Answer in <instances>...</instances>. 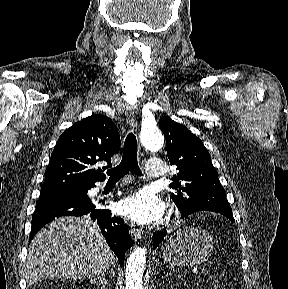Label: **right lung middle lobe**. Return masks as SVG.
Wrapping results in <instances>:
<instances>
[{
	"mask_svg": "<svg viewBox=\"0 0 288 289\" xmlns=\"http://www.w3.org/2000/svg\"><path fill=\"white\" fill-rule=\"evenodd\" d=\"M71 197L81 200H89L86 188H70V189H47L41 190L40 199H57Z\"/></svg>",
	"mask_w": 288,
	"mask_h": 289,
	"instance_id": "1",
	"label": "right lung middle lobe"
}]
</instances>
